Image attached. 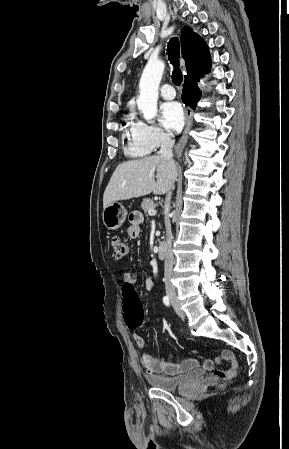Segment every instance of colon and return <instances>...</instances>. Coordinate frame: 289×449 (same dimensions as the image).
Segmentation results:
<instances>
[{
	"instance_id": "1",
	"label": "colon",
	"mask_w": 289,
	"mask_h": 449,
	"mask_svg": "<svg viewBox=\"0 0 289 449\" xmlns=\"http://www.w3.org/2000/svg\"><path fill=\"white\" fill-rule=\"evenodd\" d=\"M112 254L114 258L121 259L128 253L127 243L119 237L111 240ZM122 304L125 311L126 323L130 328H137L143 322V312L140 308V301L136 289L132 282L123 284Z\"/></svg>"
}]
</instances>
